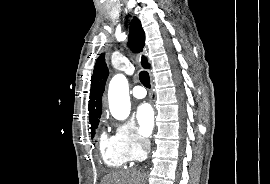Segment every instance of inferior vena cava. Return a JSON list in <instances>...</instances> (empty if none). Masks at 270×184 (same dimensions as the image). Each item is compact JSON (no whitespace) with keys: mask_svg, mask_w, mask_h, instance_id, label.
<instances>
[{"mask_svg":"<svg viewBox=\"0 0 270 184\" xmlns=\"http://www.w3.org/2000/svg\"><path fill=\"white\" fill-rule=\"evenodd\" d=\"M143 145L146 149H150L151 143L148 139L143 140Z\"/></svg>","mask_w":270,"mask_h":184,"instance_id":"602c4592","label":"inferior vena cava"}]
</instances>
